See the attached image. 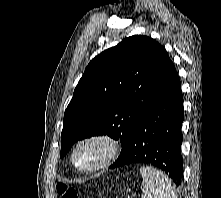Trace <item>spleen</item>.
Segmentation results:
<instances>
[{
	"instance_id": "spleen-1",
	"label": "spleen",
	"mask_w": 221,
	"mask_h": 198,
	"mask_svg": "<svg viewBox=\"0 0 221 198\" xmlns=\"http://www.w3.org/2000/svg\"><path fill=\"white\" fill-rule=\"evenodd\" d=\"M140 174L145 198H177L175 186L165 173L150 166H141Z\"/></svg>"
}]
</instances>
